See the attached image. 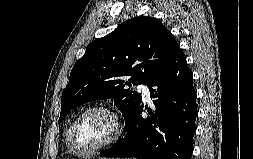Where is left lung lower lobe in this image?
Listing matches in <instances>:
<instances>
[{
    "label": "left lung lower lobe",
    "mask_w": 253,
    "mask_h": 159,
    "mask_svg": "<svg viewBox=\"0 0 253 159\" xmlns=\"http://www.w3.org/2000/svg\"><path fill=\"white\" fill-rule=\"evenodd\" d=\"M192 79L186 59L179 50L148 82L154 111L149 109L148 118L143 119V106H137L125 122L126 136L101 156L191 159L198 114Z\"/></svg>",
    "instance_id": "obj_1"
}]
</instances>
